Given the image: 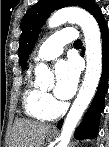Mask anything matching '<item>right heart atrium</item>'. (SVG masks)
<instances>
[{"mask_svg":"<svg viewBox=\"0 0 109 147\" xmlns=\"http://www.w3.org/2000/svg\"><path fill=\"white\" fill-rule=\"evenodd\" d=\"M45 101L49 105H53V103H54V99L49 94H45Z\"/></svg>","mask_w":109,"mask_h":147,"instance_id":"obj_1","label":"right heart atrium"}]
</instances>
